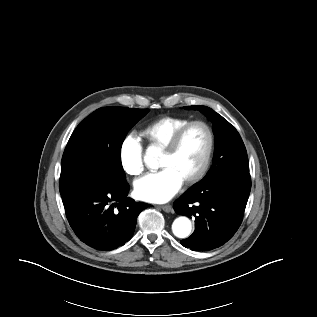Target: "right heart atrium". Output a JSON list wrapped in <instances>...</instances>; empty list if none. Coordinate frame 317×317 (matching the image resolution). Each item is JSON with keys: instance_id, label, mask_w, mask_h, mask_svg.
Masks as SVG:
<instances>
[{"instance_id": "obj_1", "label": "right heart atrium", "mask_w": 317, "mask_h": 317, "mask_svg": "<svg viewBox=\"0 0 317 317\" xmlns=\"http://www.w3.org/2000/svg\"><path fill=\"white\" fill-rule=\"evenodd\" d=\"M118 157L121 168L126 174L138 176L143 172V146L136 136L128 135L122 140Z\"/></svg>"}]
</instances>
